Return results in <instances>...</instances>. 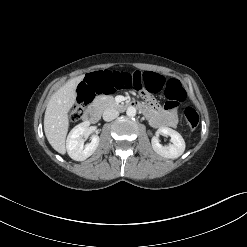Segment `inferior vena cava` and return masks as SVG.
<instances>
[{"label": "inferior vena cava", "mask_w": 247, "mask_h": 247, "mask_svg": "<svg viewBox=\"0 0 247 247\" xmlns=\"http://www.w3.org/2000/svg\"><path fill=\"white\" fill-rule=\"evenodd\" d=\"M119 115V112L114 109V108H107L105 109V111L103 112V119L105 121H112L113 119L117 118Z\"/></svg>", "instance_id": "602c4592"}]
</instances>
